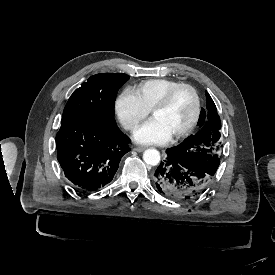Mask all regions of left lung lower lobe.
<instances>
[{"label":"left lung lower lobe","instance_id":"0a47b994","mask_svg":"<svg viewBox=\"0 0 275 275\" xmlns=\"http://www.w3.org/2000/svg\"><path fill=\"white\" fill-rule=\"evenodd\" d=\"M167 157L157 167L153 181L168 198L189 200L204 193L214 181V174L166 150Z\"/></svg>","mask_w":275,"mask_h":275}]
</instances>
